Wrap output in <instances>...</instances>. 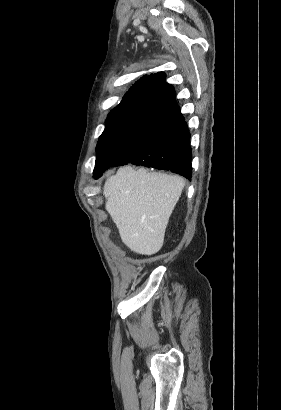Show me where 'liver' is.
I'll return each instance as SVG.
<instances>
[{
	"label": "liver",
	"mask_w": 281,
	"mask_h": 410,
	"mask_svg": "<svg viewBox=\"0 0 281 410\" xmlns=\"http://www.w3.org/2000/svg\"><path fill=\"white\" fill-rule=\"evenodd\" d=\"M185 181L164 173L121 167L107 179L105 208L116 224L123 243L142 255L157 253L164 242L169 218Z\"/></svg>",
	"instance_id": "obj_1"
}]
</instances>
